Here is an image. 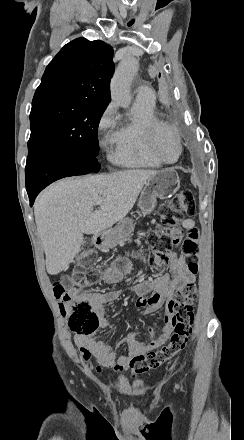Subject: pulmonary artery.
I'll use <instances>...</instances> for the list:
<instances>
[{
    "label": "pulmonary artery",
    "mask_w": 244,
    "mask_h": 440,
    "mask_svg": "<svg viewBox=\"0 0 244 440\" xmlns=\"http://www.w3.org/2000/svg\"><path fill=\"white\" fill-rule=\"evenodd\" d=\"M137 102H155L156 94L153 90H138L136 94Z\"/></svg>",
    "instance_id": "e3ab8cb5"
}]
</instances>
